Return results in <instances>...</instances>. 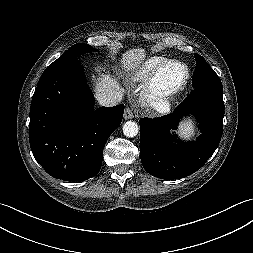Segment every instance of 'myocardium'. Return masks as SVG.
<instances>
[{
  "instance_id": "obj_1",
  "label": "myocardium",
  "mask_w": 253,
  "mask_h": 253,
  "mask_svg": "<svg viewBox=\"0 0 253 253\" xmlns=\"http://www.w3.org/2000/svg\"><path fill=\"white\" fill-rule=\"evenodd\" d=\"M168 66L183 68L184 75L178 82L172 84L160 82V76ZM190 77L191 71L187 64L179 60H166L146 80L142 91L143 102L157 112H168L173 100L187 88Z\"/></svg>"
}]
</instances>
